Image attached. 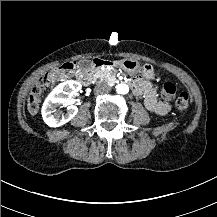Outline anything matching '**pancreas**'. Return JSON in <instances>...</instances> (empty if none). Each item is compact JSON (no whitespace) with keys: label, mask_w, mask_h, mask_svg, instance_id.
<instances>
[{"label":"pancreas","mask_w":217,"mask_h":217,"mask_svg":"<svg viewBox=\"0 0 217 217\" xmlns=\"http://www.w3.org/2000/svg\"><path fill=\"white\" fill-rule=\"evenodd\" d=\"M115 75H116V70H114V71L105 70L99 74V76L102 78H114Z\"/></svg>","instance_id":"1"}]
</instances>
